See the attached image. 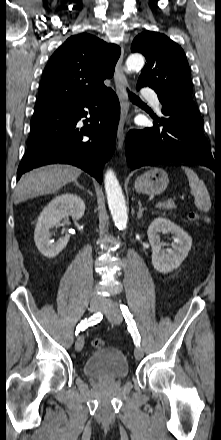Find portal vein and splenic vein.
Here are the masks:
<instances>
[{
    "instance_id": "obj_1",
    "label": "portal vein and splenic vein",
    "mask_w": 221,
    "mask_h": 440,
    "mask_svg": "<svg viewBox=\"0 0 221 440\" xmlns=\"http://www.w3.org/2000/svg\"><path fill=\"white\" fill-rule=\"evenodd\" d=\"M161 204H162V202H158V203L156 204V207H159Z\"/></svg>"
}]
</instances>
